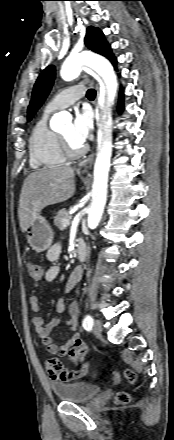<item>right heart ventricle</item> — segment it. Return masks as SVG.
<instances>
[{
	"instance_id": "e07e8e85",
	"label": "right heart ventricle",
	"mask_w": 174,
	"mask_h": 440,
	"mask_svg": "<svg viewBox=\"0 0 174 440\" xmlns=\"http://www.w3.org/2000/svg\"><path fill=\"white\" fill-rule=\"evenodd\" d=\"M49 114L50 112H44L29 136V162L34 169L58 167L66 160L59 134L47 124Z\"/></svg>"
}]
</instances>
